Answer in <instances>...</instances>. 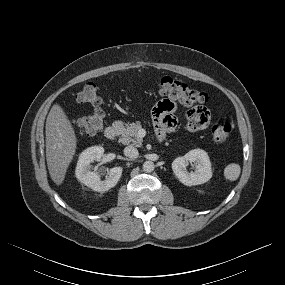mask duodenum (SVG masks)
Instances as JSON below:
<instances>
[{
	"instance_id": "410a0bca",
	"label": "duodenum",
	"mask_w": 285,
	"mask_h": 285,
	"mask_svg": "<svg viewBox=\"0 0 285 285\" xmlns=\"http://www.w3.org/2000/svg\"><path fill=\"white\" fill-rule=\"evenodd\" d=\"M118 134V127L111 125L105 128L104 136L108 140H114Z\"/></svg>"
}]
</instances>
